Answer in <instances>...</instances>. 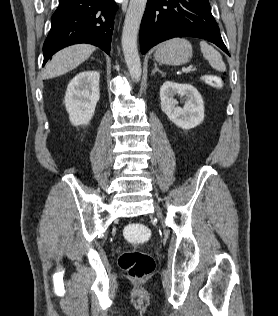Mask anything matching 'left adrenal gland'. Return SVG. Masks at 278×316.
<instances>
[{
	"instance_id": "obj_1",
	"label": "left adrenal gland",
	"mask_w": 278,
	"mask_h": 316,
	"mask_svg": "<svg viewBox=\"0 0 278 316\" xmlns=\"http://www.w3.org/2000/svg\"><path fill=\"white\" fill-rule=\"evenodd\" d=\"M154 66H155V68H154V70L152 71V74H153V75H154L156 72H159V73H161L162 75H165V73H164L163 71H161V70L158 69L156 63H154Z\"/></svg>"
}]
</instances>
